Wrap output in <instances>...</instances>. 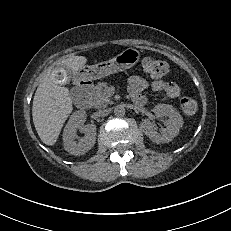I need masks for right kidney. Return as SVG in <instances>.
I'll return each instance as SVG.
<instances>
[{"mask_svg": "<svg viewBox=\"0 0 231 231\" xmlns=\"http://www.w3.org/2000/svg\"><path fill=\"white\" fill-rule=\"evenodd\" d=\"M86 114L82 111L73 113L64 129V149L72 155L79 156L89 151L96 142V126L94 124L84 125ZM77 130L84 133V137L77 143Z\"/></svg>", "mask_w": 231, "mask_h": 231, "instance_id": "right-kidney-1", "label": "right kidney"}]
</instances>
